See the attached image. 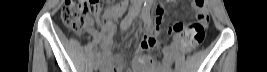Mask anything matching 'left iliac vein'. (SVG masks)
Masks as SVG:
<instances>
[{
    "label": "left iliac vein",
    "mask_w": 267,
    "mask_h": 72,
    "mask_svg": "<svg viewBox=\"0 0 267 72\" xmlns=\"http://www.w3.org/2000/svg\"><path fill=\"white\" fill-rule=\"evenodd\" d=\"M144 8V7H143ZM143 8H142V11H141V18H142V20L145 22V19H144V10H143Z\"/></svg>",
    "instance_id": "left-iliac-vein-1"
}]
</instances>
